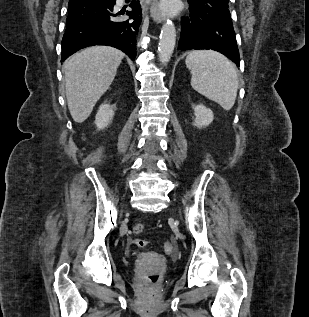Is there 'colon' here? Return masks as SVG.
Listing matches in <instances>:
<instances>
[{"label":"colon","mask_w":309,"mask_h":317,"mask_svg":"<svg viewBox=\"0 0 309 317\" xmlns=\"http://www.w3.org/2000/svg\"><path fill=\"white\" fill-rule=\"evenodd\" d=\"M132 231H133V233H135V234H140V233H142V232L144 231V225L141 224V223H137V224H135V225L133 226ZM132 243H133L135 246H137V247H144V246L147 245V241H146V240L138 239V238H137V239H134V240L132 241ZM164 249H165V251H167V252H171L172 249H173V246H172L171 243L165 242V243H164Z\"/></svg>","instance_id":"obj_1"}]
</instances>
